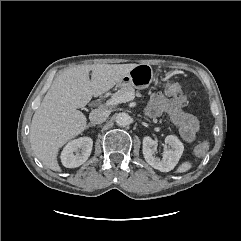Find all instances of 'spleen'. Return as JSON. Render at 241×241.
Instances as JSON below:
<instances>
[{"label":"spleen","instance_id":"obj_1","mask_svg":"<svg viewBox=\"0 0 241 241\" xmlns=\"http://www.w3.org/2000/svg\"><path fill=\"white\" fill-rule=\"evenodd\" d=\"M191 167H192V163L189 161H185L176 169V173L187 172L188 170L191 169Z\"/></svg>","mask_w":241,"mask_h":241}]
</instances>
